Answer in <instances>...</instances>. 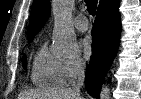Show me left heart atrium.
Returning <instances> with one entry per match:
<instances>
[{
  "label": "left heart atrium",
  "mask_w": 141,
  "mask_h": 99,
  "mask_svg": "<svg viewBox=\"0 0 141 99\" xmlns=\"http://www.w3.org/2000/svg\"><path fill=\"white\" fill-rule=\"evenodd\" d=\"M81 48L86 57H89L93 51V41L92 38L87 36L81 41Z\"/></svg>",
  "instance_id": "39dd6f15"
}]
</instances>
